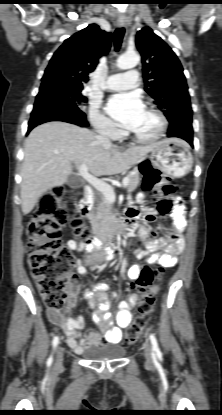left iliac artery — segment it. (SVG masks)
I'll use <instances>...</instances> for the list:
<instances>
[{
  "label": "left iliac artery",
  "mask_w": 222,
  "mask_h": 415,
  "mask_svg": "<svg viewBox=\"0 0 222 415\" xmlns=\"http://www.w3.org/2000/svg\"><path fill=\"white\" fill-rule=\"evenodd\" d=\"M150 341H151V344H152V350H153V352L155 354H157V355H160L161 354V351L159 349V346H158V343H157V339H156V337H155L154 334H150Z\"/></svg>",
  "instance_id": "obj_1"
}]
</instances>
